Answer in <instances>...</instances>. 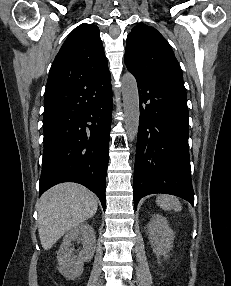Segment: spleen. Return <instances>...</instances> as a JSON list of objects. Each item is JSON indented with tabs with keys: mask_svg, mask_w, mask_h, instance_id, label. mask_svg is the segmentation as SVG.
Wrapping results in <instances>:
<instances>
[{
	"mask_svg": "<svg viewBox=\"0 0 231 286\" xmlns=\"http://www.w3.org/2000/svg\"><path fill=\"white\" fill-rule=\"evenodd\" d=\"M156 203L164 210L181 211L182 205L179 199L173 195L161 194L156 198Z\"/></svg>",
	"mask_w": 231,
	"mask_h": 286,
	"instance_id": "1",
	"label": "spleen"
}]
</instances>
